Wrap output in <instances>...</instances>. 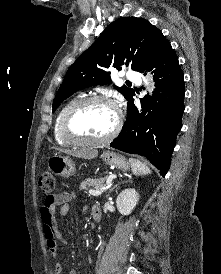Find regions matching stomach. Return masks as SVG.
Masks as SVG:
<instances>
[{
  "instance_id": "0dacf381",
  "label": "stomach",
  "mask_w": 221,
  "mask_h": 274,
  "mask_svg": "<svg viewBox=\"0 0 221 274\" xmlns=\"http://www.w3.org/2000/svg\"><path fill=\"white\" fill-rule=\"evenodd\" d=\"M102 159L107 165L117 167L123 171H127L130 168V164L124 156L112 151H104ZM48 168L55 175L64 178H68L75 173V165L72 159L68 156H61L58 154L49 158Z\"/></svg>"
}]
</instances>
